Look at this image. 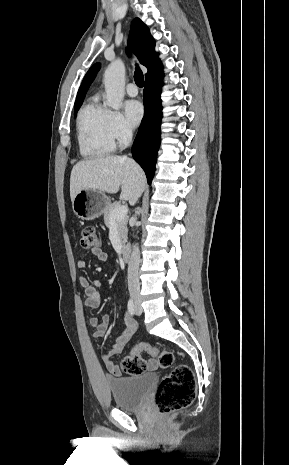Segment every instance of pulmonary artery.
Segmentation results:
<instances>
[{
  "label": "pulmonary artery",
  "mask_w": 289,
  "mask_h": 465,
  "mask_svg": "<svg viewBox=\"0 0 289 465\" xmlns=\"http://www.w3.org/2000/svg\"><path fill=\"white\" fill-rule=\"evenodd\" d=\"M126 92L129 96L131 97H135L137 96L138 94V89L136 87V85L134 83H129L127 86H126Z\"/></svg>",
  "instance_id": "pulmonary-artery-1"
}]
</instances>
